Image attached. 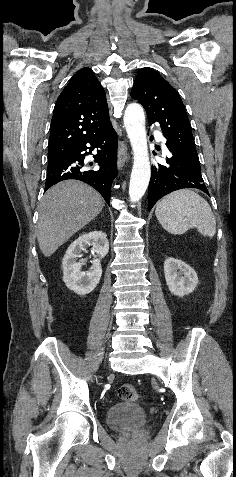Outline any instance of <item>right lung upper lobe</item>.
Returning <instances> with one entry per match:
<instances>
[{
    "instance_id": "right-lung-upper-lobe-1",
    "label": "right lung upper lobe",
    "mask_w": 236,
    "mask_h": 477,
    "mask_svg": "<svg viewBox=\"0 0 236 477\" xmlns=\"http://www.w3.org/2000/svg\"><path fill=\"white\" fill-rule=\"evenodd\" d=\"M109 123L103 87L90 68L79 70L55 104L48 156H67L88 136Z\"/></svg>"
}]
</instances>
